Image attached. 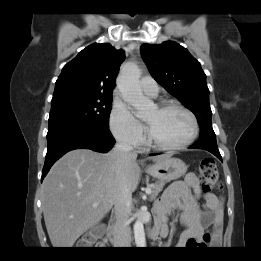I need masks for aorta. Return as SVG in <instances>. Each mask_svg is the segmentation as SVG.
Listing matches in <instances>:
<instances>
[{"instance_id":"762f6f07","label":"aorta","mask_w":261,"mask_h":261,"mask_svg":"<svg viewBox=\"0 0 261 261\" xmlns=\"http://www.w3.org/2000/svg\"><path fill=\"white\" fill-rule=\"evenodd\" d=\"M140 75V69L135 63H126L121 67L118 76V87L121 96L124 101L134 107L137 116L144 114L153 105L152 101L142 93L139 84ZM133 230L137 247L144 248L146 246V238L143 222L137 220Z\"/></svg>"}]
</instances>
